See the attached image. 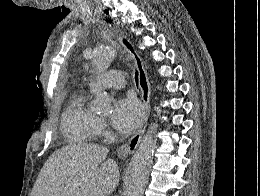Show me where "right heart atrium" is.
I'll use <instances>...</instances> for the list:
<instances>
[{
    "label": "right heart atrium",
    "instance_id": "right-heart-atrium-1",
    "mask_svg": "<svg viewBox=\"0 0 260 196\" xmlns=\"http://www.w3.org/2000/svg\"><path fill=\"white\" fill-rule=\"evenodd\" d=\"M97 127L99 129H104L106 127L105 122L103 120H98ZM57 192H85V190H57Z\"/></svg>",
    "mask_w": 260,
    "mask_h": 196
}]
</instances>
